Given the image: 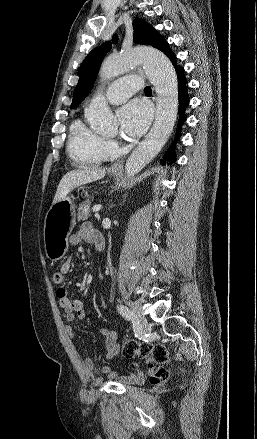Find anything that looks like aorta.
I'll use <instances>...</instances> for the list:
<instances>
[{
    "mask_svg": "<svg viewBox=\"0 0 257 439\" xmlns=\"http://www.w3.org/2000/svg\"><path fill=\"white\" fill-rule=\"evenodd\" d=\"M142 64L146 76L157 94L155 122L146 138L131 153L125 166L128 177L141 171L162 149L172 133L178 113V82L171 61L161 51L151 47H139L124 51L104 60L100 70V82H105ZM85 118L91 128L100 134L116 132L117 124L104 97L98 94L85 109Z\"/></svg>",
    "mask_w": 257,
    "mask_h": 439,
    "instance_id": "aorta-1",
    "label": "aorta"
}]
</instances>
